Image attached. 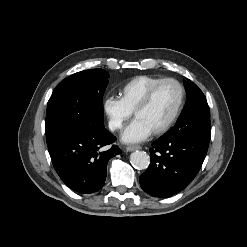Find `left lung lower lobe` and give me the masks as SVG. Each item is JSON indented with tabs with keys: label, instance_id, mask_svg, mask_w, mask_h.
<instances>
[{
	"label": "left lung lower lobe",
	"instance_id": "0a47b994",
	"mask_svg": "<svg viewBox=\"0 0 247 247\" xmlns=\"http://www.w3.org/2000/svg\"><path fill=\"white\" fill-rule=\"evenodd\" d=\"M208 144L199 138L161 136L153 142L150 165L140 176L142 189L157 197H169L183 190L199 172Z\"/></svg>",
	"mask_w": 247,
	"mask_h": 247
}]
</instances>
